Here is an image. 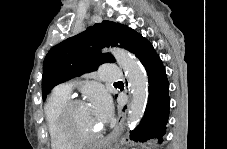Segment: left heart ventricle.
Instances as JSON below:
<instances>
[{
    "label": "left heart ventricle",
    "instance_id": "left-heart-ventricle-1",
    "mask_svg": "<svg viewBox=\"0 0 227 149\" xmlns=\"http://www.w3.org/2000/svg\"><path fill=\"white\" fill-rule=\"evenodd\" d=\"M70 126L79 136H92L100 130L101 123L95 110L83 104L73 111Z\"/></svg>",
    "mask_w": 227,
    "mask_h": 149
}]
</instances>
